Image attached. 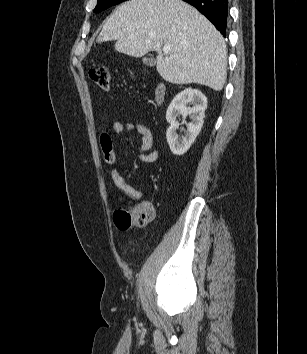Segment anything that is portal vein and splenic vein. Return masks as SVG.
<instances>
[{
  "instance_id": "obj_1",
  "label": "portal vein and splenic vein",
  "mask_w": 307,
  "mask_h": 354,
  "mask_svg": "<svg viewBox=\"0 0 307 354\" xmlns=\"http://www.w3.org/2000/svg\"><path fill=\"white\" fill-rule=\"evenodd\" d=\"M170 51H171L170 45H165V46L163 47V52H164L165 55L169 54Z\"/></svg>"
}]
</instances>
